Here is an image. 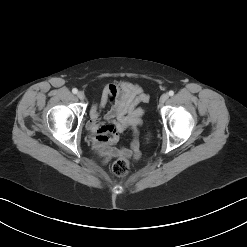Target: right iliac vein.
I'll return each mask as SVG.
<instances>
[{
	"label": "right iliac vein",
	"instance_id": "63e3f726",
	"mask_svg": "<svg viewBox=\"0 0 247 247\" xmlns=\"http://www.w3.org/2000/svg\"><path fill=\"white\" fill-rule=\"evenodd\" d=\"M77 97L80 99V100H84L85 99V94L82 92V91H79L77 93Z\"/></svg>",
	"mask_w": 247,
	"mask_h": 247
}]
</instances>
